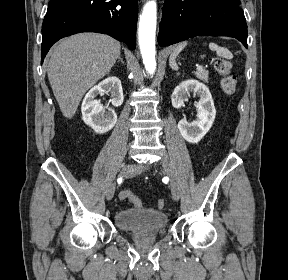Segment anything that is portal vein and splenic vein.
Listing matches in <instances>:
<instances>
[{
	"mask_svg": "<svg viewBox=\"0 0 288 280\" xmlns=\"http://www.w3.org/2000/svg\"><path fill=\"white\" fill-rule=\"evenodd\" d=\"M200 69H202V66L197 65V70H200Z\"/></svg>",
	"mask_w": 288,
	"mask_h": 280,
	"instance_id": "portal-vein-and-splenic-vein-1",
	"label": "portal vein and splenic vein"
}]
</instances>
